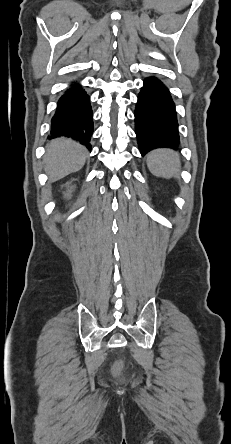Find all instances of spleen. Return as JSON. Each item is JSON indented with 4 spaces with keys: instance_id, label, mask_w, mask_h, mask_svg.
I'll return each mask as SVG.
<instances>
[{
    "instance_id": "1",
    "label": "spleen",
    "mask_w": 231,
    "mask_h": 444,
    "mask_svg": "<svg viewBox=\"0 0 231 444\" xmlns=\"http://www.w3.org/2000/svg\"><path fill=\"white\" fill-rule=\"evenodd\" d=\"M147 166L157 177H178L181 168L179 154L164 148L153 150L147 156Z\"/></svg>"
}]
</instances>
